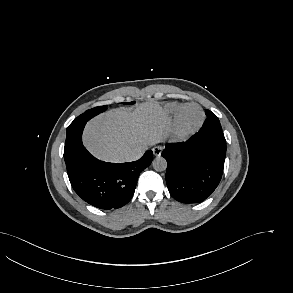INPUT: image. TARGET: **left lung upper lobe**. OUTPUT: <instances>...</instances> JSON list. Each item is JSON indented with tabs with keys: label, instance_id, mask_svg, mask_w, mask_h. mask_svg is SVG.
I'll return each instance as SVG.
<instances>
[{
	"label": "left lung upper lobe",
	"instance_id": "1",
	"mask_svg": "<svg viewBox=\"0 0 293 293\" xmlns=\"http://www.w3.org/2000/svg\"><path fill=\"white\" fill-rule=\"evenodd\" d=\"M205 113L207 116L205 122L213 124L214 126L220 128L222 130L219 119L217 118V116L214 115L210 110H206Z\"/></svg>",
	"mask_w": 293,
	"mask_h": 293
}]
</instances>
